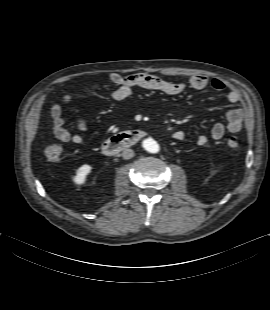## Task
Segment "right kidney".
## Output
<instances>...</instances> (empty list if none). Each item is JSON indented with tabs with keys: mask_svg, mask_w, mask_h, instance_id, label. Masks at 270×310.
Returning <instances> with one entry per match:
<instances>
[{
	"mask_svg": "<svg viewBox=\"0 0 270 310\" xmlns=\"http://www.w3.org/2000/svg\"><path fill=\"white\" fill-rule=\"evenodd\" d=\"M91 170L92 167L90 165L87 164L82 165L77 169L73 181L78 185L84 184L86 181V177L91 172Z\"/></svg>",
	"mask_w": 270,
	"mask_h": 310,
	"instance_id": "ca27d5eb",
	"label": "right kidney"
}]
</instances>
